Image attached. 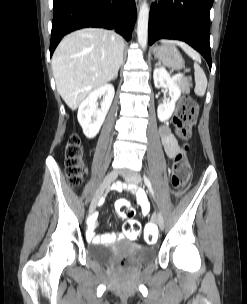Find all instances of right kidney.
<instances>
[{
    "label": "right kidney",
    "instance_id": "obj_1",
    "mask_svg": "<svg viewBox=\"0 0 247 304\" xmlns=\"http://www.w3.org/2000/svg\"><path fill=\"white\" fill-rule=\"evenodd\" d=\"M114 94V86L104 84L93 90L80 104L77 118L87 138L92 139L98 134L109 111ZM100 97H103V101L101 102V108L98 109L97 99Z\"/></svg>",
    "mask_w": 247,
    "mask_h": 304
}]
</instances>
